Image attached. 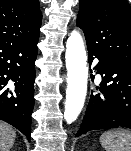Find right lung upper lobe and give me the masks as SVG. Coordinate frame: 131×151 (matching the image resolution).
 Listing matches in <instances>:
<instances>
[{"mask_svg":"<svg viewBox=\"0 0 131 151\" xmlns=\"http://www.w3.org/2000/svg\"><path fill=\"white\" fill-rule=\"evenodd\" d=\"M41 21L38 0H0V44L38 39Z\"/></svg>","mask_w":131,"mask_h":151,"instance_id":"right-lung-upper-lobe-1","label":"right lung upper lobe"}]
</instances>
